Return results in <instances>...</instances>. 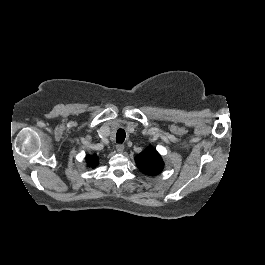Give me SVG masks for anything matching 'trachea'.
Instances as JSON below:
<instances>
[{"mask_svg": "<svg viewBox=\"0 0 265 265\" xmlns=\"http://www.w3.org/2000/svg\"><path fill=\"white\" fill-rule=\"evenodd\" d=\"M125 137H126L125 130L123 128H119L116 134V142L123 143V141L125 140Z\"/></svg>", "mask_w": 265, "mask_h": 265, "instance_id": "3493384b", "label": "trachea"}]
</instances>
